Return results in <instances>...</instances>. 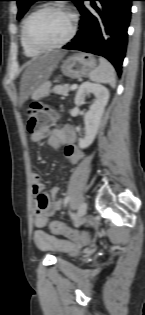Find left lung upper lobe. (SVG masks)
Returning a JSON list of instances; mask_svg holds the SVG:
<instances>
[{"label": "left lung upper lobe", "mask_w": 145, "mask_h": 315, "mask_svg": "<svg viewBox=\"0 0 145 315\" xmlns=\"http://www.w3.org/2000/svg\"><path fill=\"white\" fill-rule=\"evenodd\" d=\"M17 1V5H18V15H17V19H21L23 17V15L26 13V11L28 10V8L36 1L39 0H15ZM68 1H73L76 5L78 4L79 0H68Z\"/></svg>", "instance_id": "obj_1"}]
</instances>
